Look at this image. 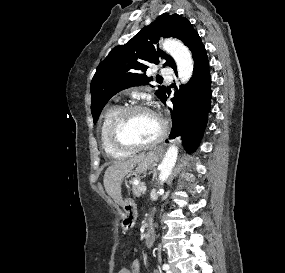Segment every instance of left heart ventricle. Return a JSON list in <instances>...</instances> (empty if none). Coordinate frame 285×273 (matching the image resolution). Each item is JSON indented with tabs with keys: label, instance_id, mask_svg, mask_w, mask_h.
Returning a JSON list of instances; mask_svg holds the SVG:
<instances>
[{
	"label": "left heart ventricle",
	"instance_id": "obj_1",
	"mask_svg": "<svg viewBox=\"0 0 285 273\" xmlns=\"http://www.w3.org/2000/svg\"><path fill=\"white\" fill-rule=\"evenodd\" d=\"M160 131L157 119L149 112L130 114L121 128V138L130 144H143L155 139Z\"/></svg>",
	"mask_w": 285,
	"mask_h": 273
}]
</instances>
